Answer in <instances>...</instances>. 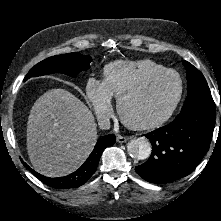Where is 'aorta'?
<instances>
[{
  "instance_id": "762f6f07",
  "label": "aorta",
  "mask_w": 221,
  "mask_h": 221,
  "mask_svg": "<svg viewBox=\"0 0 221 221\" xmlns=\"http://www.w3.org/2000/svg\"><path fill=\"white\" fill-rule=\"evenodd\" d=\"M128 154L138 160L147 159L152 151L151 143L145 137L132 139L127 144Z\"/></svg>"
}]
</instances>
